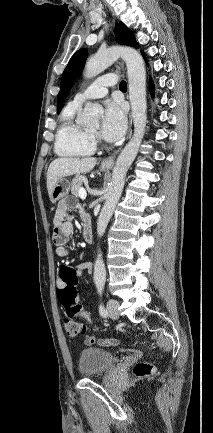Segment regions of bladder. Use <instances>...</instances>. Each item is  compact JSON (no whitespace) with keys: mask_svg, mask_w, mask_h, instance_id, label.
I'll list each match as a JSON object with an SVG mask.
<instances>
[{"mask_svg":"<svg viewBox=\"0 0 213 433\" xmlns=\"http://www.w3.org/2000/svg\"><path fill=\"white\" fill-rule=\"evenodd\" d=\"M117 361L118 357L108 350L87 347L80 352L78 370L84 377L101 376L109 372Z\"/></svg>","mask_w":213,"mask_h":433,"instance_id":"obj_1","label":"bladder"}]
</instances>
